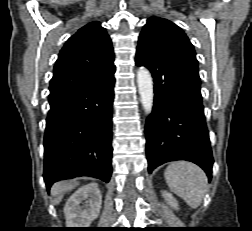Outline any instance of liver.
<instances>
[{
  "label": "liver",
  "instance_id": "6515ba94",
  "mask_svg": "<svg viewBox=\"0 0 252 231\" xmlns=\"http://www.w3.org/2000/svg\"><path fill=\"white\" fill-rule=\"evenodd\" d=\"M77 185L78 182H68V181L57 182L52 186L51 193L53 196L57 198V202H59L63 194L71 191Z\"/></svg>",
  "mask_w": 252,
  "mask_h": 231
}]
</instances>
